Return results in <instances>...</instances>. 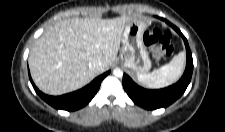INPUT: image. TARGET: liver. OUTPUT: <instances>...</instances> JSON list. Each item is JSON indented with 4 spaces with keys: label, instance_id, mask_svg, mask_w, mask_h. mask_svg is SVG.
<instances>
[{
    "label": "liver",
    "instance_id": "6515ba94",
    "mask_svg": "<svg viewBox=\"0 0 225 132\" xmlns=\"http://www.w3.org/2000/svg\"><path fill=\"white\" fill-rule=\"evenodd\" d=\"M132 18H72L51 26L29 55L35 85L46 94L62 95L100 74L89 68L92 60L101 59L104 71L108 70L116 60L125 25Z\"/></svg>",
    "mask_w": 225,
    "mask_h": 132
}]
</instances>
